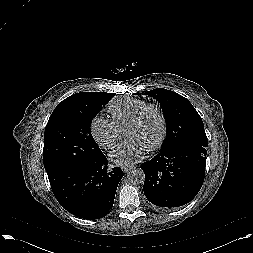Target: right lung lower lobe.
<instances>
[{
    "label": "right lung lower lobe",
    "instance_id": "1",
    "mask_svg": "<svg viewBox=\"0 0 253 253\" xmlns=\"http://www.w3.org/2000/svg\"><path fill=\"white\" fill-rule=\"evenodd\" d=\"M47 175L54 196L68 212L94 220L111 211L124 173L120 167L109 169L102 153L92 161L62 167Z\"/></svg>",
    "mask_w": 253,
    "mask_h": 253
}]
</instances>
